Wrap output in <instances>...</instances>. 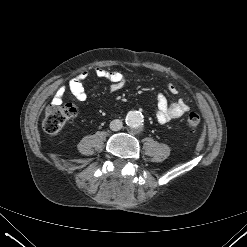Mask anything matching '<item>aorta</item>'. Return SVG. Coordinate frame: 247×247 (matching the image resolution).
Segmentation results:
<instances>
[{"label":"aorta","instance_id":"aorta-1","mask_svg":"<svg viewBox=\"0 0 247 247\" xmlns=\"http://www.w3.org/2000/svg\"><path fill=\"white\" fill-rule=\"evenodd\" d=\"M126 124L131 128H139L143 125V115L141 112L129 111L126 116Z\"/></svg>","mask_w":247,"mask_h":247}]
</instances>
